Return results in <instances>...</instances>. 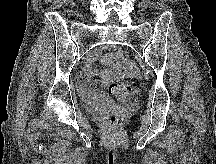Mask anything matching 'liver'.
<instances>
[{
	"mask_svg": "<svg viewBox=\"0 0 216 164\" xmlns=\"http://www.w3.org/2000/svg\"><path fill=\"white\" fill-rule=\"evenodd\" d=\"M46 3H49V2H51L52 0H44Z\"/></svg>",
	"mask_w": 216,
	"mask_h": 164,
	"instance_id": "6515ba94",
	"label": "liver"
}]
</instances>
